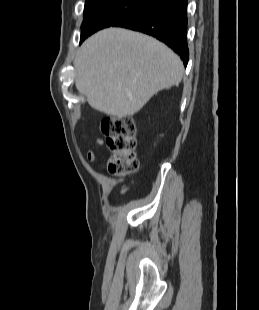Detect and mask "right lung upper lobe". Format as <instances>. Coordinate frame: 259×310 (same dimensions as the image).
I'll return each instance as SVG.
<instances>
[{"label":"right lung upper lobe","instance_id":"obj_1","mask_svg":"<svg viewBox=\"0 0 259 310\" xmlns=\"http://www.w3.org/2000/svg\"><path fill=\"white\" fill-rule=\"evenodd\" d=\"M104 1H107V0H86L85 8L97 5Z\"/></svg>","mask_w":259,"mask_h":310}]
</instances>
